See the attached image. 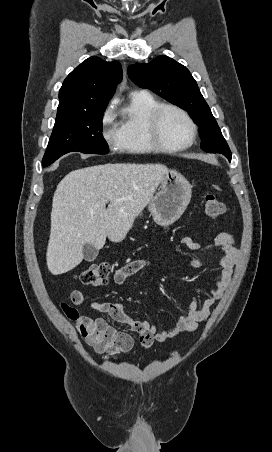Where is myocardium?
<instances>
[{"instance_id":"1","label":"myocardium","mask_w":272,"mask_h":452,"mask_svg":"<svg viewBox=\"0 0 272 452\" xmlns=\"http://www.w3.org/2000/svg\"><path fill=\"white\" fill-rule=\"evenodd\" d=\"M166 110H174V111L178 112L179 114H181L184 117V119L188 123L189 129H190V136L186 142H184L180 145L170 146L162 140L161 133H160V120H161L163 113ZM147 132H148V137H149L151 143L157 150H161V151H165V152H179L184 149H187L194 143L196 136H197V126H196L194 120L189 115V113L182 107L175 105V104L162 103L150 115V117L148 119V124H147Z\"/></svg>"}]
</instances>
